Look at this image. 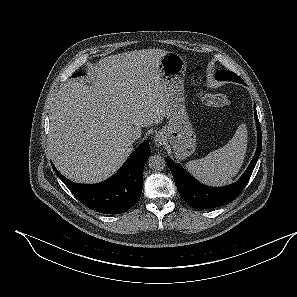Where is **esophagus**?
Returning <instances> with one entry per match:
<instances>
[{
	"instance_id": "34e87169",
	"label": "esophagus",
	"mask_w": 297,
	"mask_h": 297,
	"mask_svg": "<svg viewBox=\"0 0 297 297\" xmlns=\"http://www.w3.org/2000/svg\"><path fill=\"white\" fill-rule=\"evenodd\" d=\"M164 141H165V139H164L163 135L160 133H156L153 137V142L157 147L162 146L164 144Z\"/></svg>"
}]
</instances>
